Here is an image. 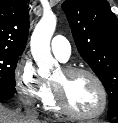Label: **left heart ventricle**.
I'll return each mask as SVG.
<instances>
[{"mask_svg": "<svg viewBox=\"0 0 118 123\" xmlns=\"http://www.w3.org/2000/svg\"><path fill=\"white\" fill-rule=\"evenodd\" d=\"M51 83L62 89L68 105L81 114L95 113L101 105V94L95 82L87 75L67 76L60 70Z\"/></svg>", "mask_w": 118, "mask_h": 123, "instance_id": "b2bd125f", "label": "left heart ventricle"}]
</instances>
